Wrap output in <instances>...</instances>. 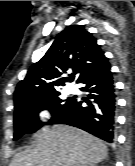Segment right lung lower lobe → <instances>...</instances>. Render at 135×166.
<instances>
[{
	"instance_id": "right-lung-lower-lobe-1",
	"label": "right lung lower lobe",
	"mask_w": 135,
	"mask_h": 166,
	"mask_svg": "<svg viewBox=\"0 0 135 166\" xmlns=\"http://www.w3.org/2000/svg\"><path fill=\"white\" fill-rule=\"evenodd\" d=\"M108 59L85 74L77 83L88 91L87 99H73L71 105L52 124H67L83 129L107 142H113L115 130L116 93ZM86 102L87 106H82Z\"/></svg>"
}]
</instances>
